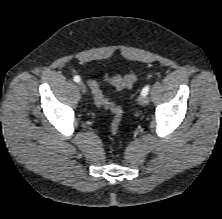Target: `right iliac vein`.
Masks as SVG:
<instances>
[{"label": "right iliac vein", "instance_id": "1", "mask_svg": "<svg viewBox=\"0 0 222 219\" xmlns=\"http://www.w3.org/2000/svg\"><path fill=\"white\" fill-rule=\"evenodd\" d=\"M78 88L82 93H86L87 91L86 85L83 82L78 83Z\"/></svg>", "mask_w": 222, "mask_h": 219}]
</instances>
